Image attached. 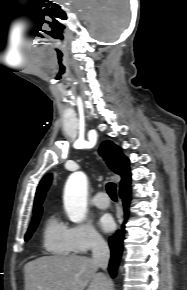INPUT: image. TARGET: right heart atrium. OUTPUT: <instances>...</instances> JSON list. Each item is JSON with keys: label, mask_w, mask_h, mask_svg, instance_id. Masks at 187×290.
Instances as JSON below:
<instances>
[{"label": "right heart atrium", "mask_w": 187, "mask_h": 290, "mask_svg": "<svg viewBox=\"0 0 187 290\" xmlns=\"http://www.w3.org/2000/svg\"><path fill=\"white\" fill-rule=\"evenodd\" d=\"M69 239L72 250L84 254L91 249L104 245L103 237L89 224L79 223L69 228Z\"/></svg>", "instance_id": "d8ad5b80"}]
</instances>
